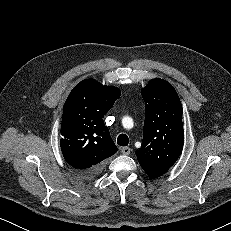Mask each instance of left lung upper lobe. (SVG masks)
Wrapping results in <instances>:
<instances>
[{
    "instance_id": "left-lung-upper-lobe-1",
    "label": "left lung upper lobe",
    "mask_w": 231,
    "mask_h": 231,
    "mask_svg": "<svg viewBox=\"0 0 231 231\" xmlns=\"http://www.w3.org/2000/svg\"><path fill=\"white\" fill-rule=\"evenodd\" d=\"M145 121L141 148L136 151L143 170L160 177L176 162L184 144L182 105L174 87L155 78L142 89Z\"/></svg>"
}]
</instances>
